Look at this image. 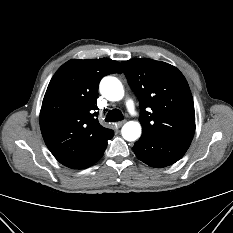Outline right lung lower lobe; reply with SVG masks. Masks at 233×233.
<instances>
[{"mask_svg":"<svg viewBox=\"0 0 233 233\" xmlns=\"http://www.w3.org/2000/svg\"><path fill=\"white\" fill-rule=\"evenodd\" d=\"M105 149H106V148H105ZM104 151H105V150H104ZM103 153H104V152H103ZM102 155H103V154H102ZM102 155H101V157H102ZM101 157H100V158H101ZM100 158H99V159H100Z\"/></svg>","mask_w":233,"mask_h":233,"instance_id":"obj_1","label":"right lung lower lobe"}]
</instances>
